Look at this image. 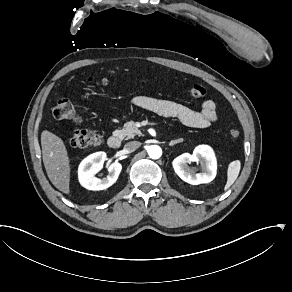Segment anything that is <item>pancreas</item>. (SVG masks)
I'll list each match as a JSON object with an SVG mask.
<instances>
[{
  "label": "pancreas",
  "mask_w": 292,
  "mask_h": 292,
  "mask_svg": "<svg viewBox=\"0 0 292 292\" xmlns=\"http://www.w3.org/2000/svg\"><path fill=\"white\" fill-rule=\"evenodd\" d=\"M135 135L141 136V131L136 127L134 121H129L124 124L123 129H121L116 136L120 139L126 137L127 139L134 138Z\"/></svg>",
  "instance_id": "1"
}]
</instances>
